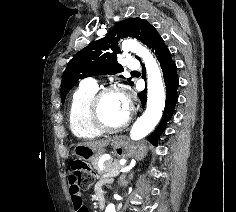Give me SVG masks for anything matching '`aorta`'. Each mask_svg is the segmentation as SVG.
<instances>
[{"label": "aorta", "instance_id": "obj_1", "mask_svg": "<svg viewBox=\"0 0 236 212\" xmlns=\"http://www.w3.org/2000/svg\"><path fill=\"white\" fill-rule=\"evenodd\" d=\"M122 49L141 57L147 70V108L130 131L131 139L139 140L147 136L160 121L165 106V91L160 68L146 47L136 40H124ZM105 212H116V206L113 203L108 204Z\"/></svg>", "mask_w": 236, "mask_h": 212}]
</instances>
